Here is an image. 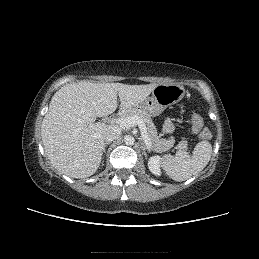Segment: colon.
<instances>
[{"label": "colon", "mask_w": 259, "mask_h": 259, "mask_svg": "<svg viewBox=\"0 0 259 259\" xmlns=\"http://www.w3.org/2000/svg\"><path fill=\"white\" fill-rule=\"evenodd\" d=\"M191 123H192L193 130L196 133H198L202 139L204 140L210 139V132L205 127L204 122L199 115L197 114L192 115Z\"/></svg>", "instance_id": "1"}]
</instances>
